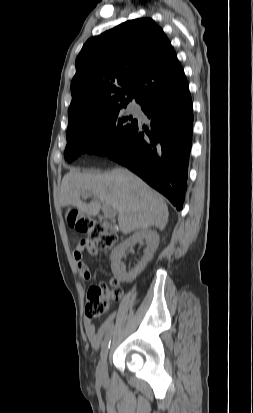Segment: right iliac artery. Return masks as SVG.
<instances>
[{"mask_svg": "<svg viewBox=\"0 0 253 413\" xmlns=\"http://www.w3.org/2000/svg\"><path fill=\"white\" fill-rule=\"evenodd\" d=\"M112 330H113V328L105 336V339L102 343V348H101V358H102V360H105L106 357H107L108 349L110 348V343H111Z\"/></svg>", "mask_w": 253, "mask_h": 413, "instance_id": "1", "label": "right iliac artery"}]
</instances>
